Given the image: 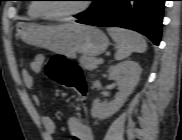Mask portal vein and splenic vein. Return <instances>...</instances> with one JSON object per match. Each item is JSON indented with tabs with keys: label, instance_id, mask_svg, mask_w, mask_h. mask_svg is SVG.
Returning <instances> with one entry per match:
<instances>
[{
	"label": "portal vein and splenic vein",
	"instance_id": "portal-vein-and-splenic-vein-1",
	"mask_svg": "<svg viewBox=\"0 0 182 140\" xmlns=\"http://www.w3.org/2000/svg\"><path fill=\"white\" fill-rule=\"evenodd\" d=\"M98 61H99V63H103L104 62V60L102 58H100Z\"/></svg>",
	"mask_w": 182,
	"mask_h": 140
}]
</instances>
